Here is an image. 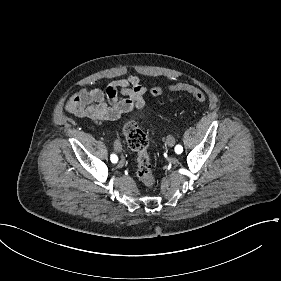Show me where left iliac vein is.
I'll return each mask as SVG.
<instances>
[{"label":"left iliac vein","instance_id":"4c4485c4","mask_svg":"<svg viewBox=\"0 0 281 281\" xmlns=\"http://www.w3.org/2000/svg\"><path fill=\"white\" fill-rule=\"evenodd\" d=\"M166 143H167L168 146L172 147L175 144L174 137L169 135L166 139Z\"/></svg>","mask_w":281,"mask_h":281}]
</instances>
